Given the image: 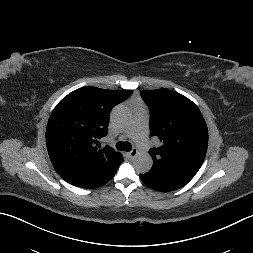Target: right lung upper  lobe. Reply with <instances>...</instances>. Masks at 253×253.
I'll return each mask as SVG.
<instances>
[{
  "label": "right lung upper lobe",
  "instance_id": "right-lung-upper-lobe-1",
  "mask_svg": "<svg viewBox=\"0 0 253 253\" xmlns=\"http://www.w3.org/2000/svg\"><path fill=\"white\" fill-rule=\"evenodd\" d=\"M132 90L83 87L65 96L53 110L46 129L50 160L68 183L95 188L118 165L121 154L98 140L108 133L111 109Z\"/></svg>",
  "mask_w": 253,
  "mask_h": 253
}]
</instances>
